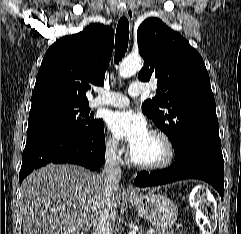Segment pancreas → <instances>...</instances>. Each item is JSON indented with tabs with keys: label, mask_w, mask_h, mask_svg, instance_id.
Returning a JSON list of instances; mask_svg holds the SVG:
<instances>
[{
	"label": "pancreas",
	"mask_w": 241,
	"mask_h": 234,
	"mask_svg": "<svg viewBox=\"0 0 241 234\" xmlns=\"http://www.w3.org/2000/svg\"><path fill=\"white\" fill-rule=\"evenodd\" d=\"M152 234H183L182 232L176 233L174 231H168L166 229L154 228Z\"/></svg>",
	"instance_id": "obj_1"
}]
</instances>
